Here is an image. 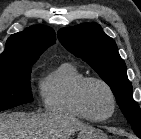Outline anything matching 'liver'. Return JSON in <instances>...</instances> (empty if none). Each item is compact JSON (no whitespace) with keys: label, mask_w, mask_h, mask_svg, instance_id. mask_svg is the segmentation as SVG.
<instances>
[{"label":"liver","mask_w":141,"mask_h":139,"mask_svg":"<svg viewBox=\"0 0 141 139\" xmlns=\"http://www.w3.org/2000/svg\"><path fill=\"white\" fill-rule=\"evenodd\" d=\"M89 127L63 113L0 114V139H69L75 132Z\"/></svg>","instance_id":"6515ba94"}]
</instances>
